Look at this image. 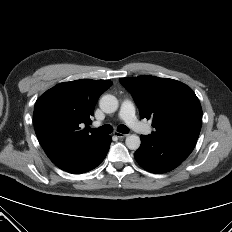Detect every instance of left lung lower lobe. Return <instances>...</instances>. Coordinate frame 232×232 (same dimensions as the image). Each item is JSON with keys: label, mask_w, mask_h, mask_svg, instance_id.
<instances>
[{"label": "left lung lower lobe", "mask_w": 232, "mask_h": 232, "mask_svg": "<svg viewBox=\"0 0 232 232\" xmlns=\"http://www.w3.org/2000/svg\"><path fill=\"white\" fill-rule=\"evenodd\" d=\"M135 152L136 161L152 173H165L178 167L192 152L197 139L189 137L159 138L141 135Z\"/></svg>", "instance_id": "left-lung-lower-lobe-1"}]
</instances>
